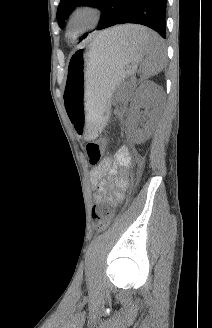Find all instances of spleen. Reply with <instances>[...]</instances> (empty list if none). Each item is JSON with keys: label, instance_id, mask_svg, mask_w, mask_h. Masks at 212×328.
Segmentation results:
<instances>
[{"label": "spleen", "instance_id": "obj_1", "mask_svg": "<svg viewBox=\"0 0 212 328\" xmlns=\"http://www.w3.org/2000/svg\"><path fill=\"white\" fill-rule=\"evenodd\" d=\"M132 43L142 50L145 56L142 71L145 77H152L162 71L166 60L162 39L145 27L134 26Z\"/></svg>", "mask_w": 212, "mask_h": 328}]
</instances>
